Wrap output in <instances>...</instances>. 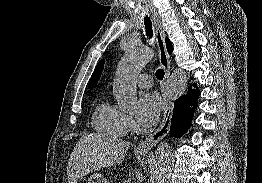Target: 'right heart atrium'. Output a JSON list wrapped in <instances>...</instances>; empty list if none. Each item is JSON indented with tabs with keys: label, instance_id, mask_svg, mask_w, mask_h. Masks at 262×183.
I'll return each instance as SVG.
<instances>
[{
	"label": "right heart atrium",
	"instance_id": "obj_1",
	"mask_svg": "<svg viewBox=\"0 0 262 183\" xmlns=\"http://www.w3.org/2000/svg\"><path fill=\"white\" fill-rule=\"evenodd\" d=\"M127 126H128V129L130 131H133L136 128V124H135L134 120L131 117H128V116H127Z\"/></svg>",
	"mask_w": 262,
	"mask_h": 183
}]
</instances>
